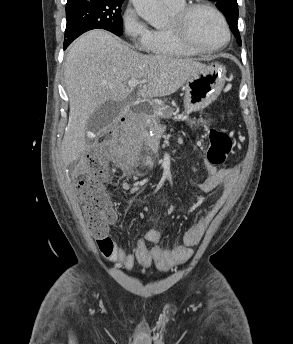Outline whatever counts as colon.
I'll return each instance as SVG.
<instances>
[{
    "label": "colon",
    "mask_w": 293,
    "mask_h": 344,
    "mask_svg": "<svg viewBox=\"0 0 293 344\" xmlns=\"http://www.w3.org/2000/svg\"><path fill=\"white\" fill-rule=\"evenodd\" d=\"M208 140V163L213 166L223 165L232 149L230 136L224 131L211 129ZM86 168L85 175L78 183V194L91 233L101 238L117 220V213L103 184L112 176V171L99 154H92L87 158Z\"/></svg>",
    "instance_id": "1"
}]
</instances>
